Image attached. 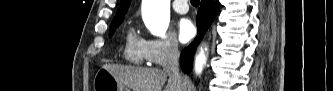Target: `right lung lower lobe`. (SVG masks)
Wrapping results in <instances>:
<instances>
[{
  "label": "right lung lower lobe",
  "instance_id": "1",
  "mask_svg": "<svg viewBox=\"0 0 333 91\" xmlns=\"http://www.w3.org/2000/svg\"><path fill=\"white\" fill-rule=\"evenodd\" d=\"M219 11V1L218 0H202L201 6L198 10L196 17L198 35L194 41L185 48L180 56L181 68L184 72L189 73L192 68L193 56L196 47L203 38L206 30L209 28L211 23L214 21L217 13Z\"/></svg>",
  "mask_w": 333,
  "mask_h": 91
}]
</instances>
